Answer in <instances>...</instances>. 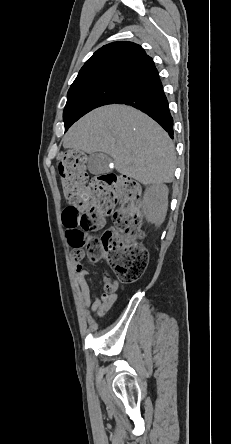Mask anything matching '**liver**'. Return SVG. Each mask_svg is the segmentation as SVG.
Instances as JSON below:
<instances>
[{
    "mask_svg": "<svg viewBox=\"0 0 231 444\" xmlns=\"http://www.w3.org/2000/svg\"><path fill=\"white\" fill-rule=\"evenodd\" d=\"M63 147L110 155L116 170L144 185L170 183L175 147L163 128L126 105H106L77 121L63 137Z\"/></svg>",
    "mask_w": 231,
    "mask_h": 444,
    "instance_id": "6515ba94",
    "label": "liver"
}]
</instances>
